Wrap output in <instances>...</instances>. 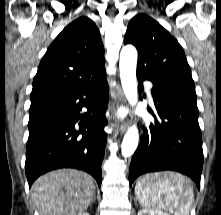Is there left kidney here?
I'll return each instance as SVG.
<instances>
[{
    "label": "left kidney",
    "instance_id": "obj_1",
    "mask_svg": "<svg viewBox=\"0 0 221 215\" xmlns=\"http://www.w3.org/2000/svg\"><path fill=\"white\" fill-rule=\"evenodd\" d=\"M138 215H169V214L160 210L142 209L138 212Z\"/></svg>",
    "mask_w": 221,
    "mask_h": 215
}]
</instances>
